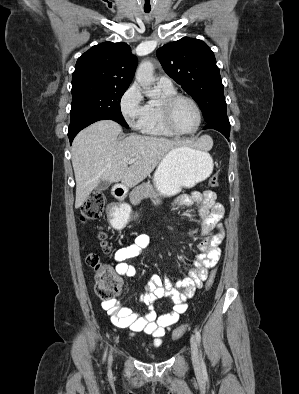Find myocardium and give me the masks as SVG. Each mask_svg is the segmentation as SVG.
I'll return each instance as SVG.
<instances>
[{
  "mask_svg": "<svg viewBox=\"0 0 299 394\" xmlns=\"http://www.w3.org/2000/svg\"><path fill=\"white\" fill-rule=\"evenodd\" d=\"M181 100H186L190 102L195 108L197 113L198 121L196 127L191 131H187V132L180 131L176 128L173 122V109L175 105ZM160 114L165 128L174 135L185 136V135L194 134L199 130L202 123V112L198 103L193 98L186 95L176 94L171 97L163 99L160 103Z\"/></svg>",
  "mask_w": 299,
  "mask_h": 394,
  "instance_id": "obj_1",
  "label": "myocardium"
}]
</instances>
